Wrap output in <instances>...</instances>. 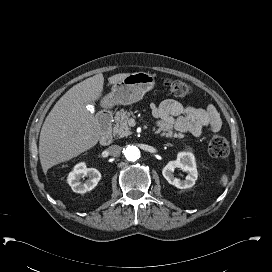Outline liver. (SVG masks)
Masks as SVG:
<instances>
[{
	"label": "liver",
	"instance_id": "obj_1",
	"mask_svg": "<svg viewBox=\"0 0 272 272\" xmlns=\"http://www.w3.org/2000/svg\"><path fill=\"white\" fill-rule=\"evenodd\" d=\"M129 74L113 75L108 82L115 84ZM103 85V74H97L73 86L56 102L43 123L39 137V157L44 173L98 143L101 133L86 105L100 99Z\"/></svg>",
	"mask_w": 272,
	"mask_h": 272
}]
</instances>
